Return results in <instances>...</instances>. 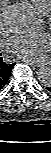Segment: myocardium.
Masks as SVG:
<instances>
[{"mask_svg": "<svg viewBox=\"0 0 51 153\" xmlns=\"http://www.w3.org/2000/svg\"><path fill=\"white\" fill-rule=\"evenodd\" d=\"M47 24L51 27V16L47 19Z\"/></svg>", "mask_w": 51, "mask_h": 153, "instance_id": "myocardium-1", "label": "myocardium"}]
</instances>
